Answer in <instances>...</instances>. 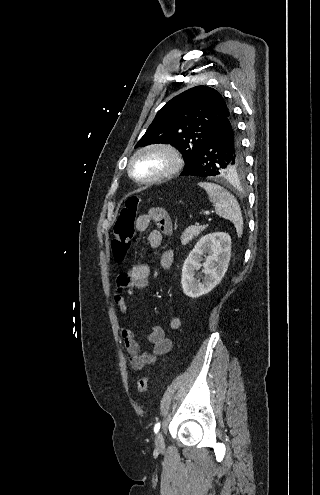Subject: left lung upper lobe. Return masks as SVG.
<instances>
[{
	"instance_id": "left-lung-upper-lobe-1",
	"label": "left lung upper lobe",
	"mask_w": 320,
	"mask_h": 495,
	"mask_svg": "<svg viewBox=\"0 0 320 495\" xmlns=\"http://www.w3.org/2000/svg\"><path fill=\"white\" fill-rule=\"evenodd\" d=\"M231 115L223 97L215 89L196 86L167 102L156 114L135 147L166 143L176 146L186 167L205 145L217 127ZM242 154L233 165L221 169L220 177H229L243 169Z\"/></svg>"
}]
</instances>
